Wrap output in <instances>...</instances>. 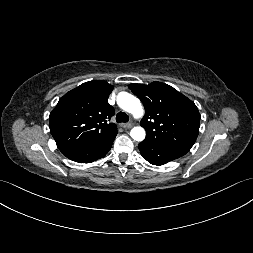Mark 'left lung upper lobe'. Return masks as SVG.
<instances>
[{
	"label": "left lung upper lobe",
	"mask_w": 253,
	"mask_h": 253,
	"mask_svg": "<svg viewBox=\"0 0 253 253\" xmlns=\"http://www.w3.org/2000/svg\"><path fill=\"white\" fill-rule=\"evenodd\" d=\"M128 87L145 107L141 121L147 133L144 141L188 152L199 133L200 114L196 105L161 82L130 84Z\"/></svg>",
	"instance_id": "5c2ea615"
}]
</instances>
